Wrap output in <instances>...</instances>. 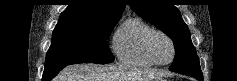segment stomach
I'll return each instance as SVG.
<instances>
[{"label":"stomach","instance_id":"1","mask_svg":"<svg viewBox=\"0 0 237 81\" xmlns=\"http://www.w3.org/2000/svg\"><path fill=\"white\" fill-rule=\"evenodd\" d=\"M152 81H166L164 77H161L159 79H155V80H152Z\"/></svg>","mask_w":237,"mask_h":81}]
</instances>
